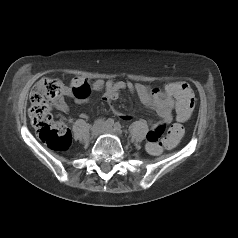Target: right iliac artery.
<instances>
[{"label": "right iliac artery", "mask_w": 238, "mask_h": 238, "mask_svg": "<svg viewBox=\"0 0 238 238\" xmlns=\"http://www.w3.org/2000/svg\"><path fill=\"white\" fill-rule=\"evenodd\" d=\"M113 124H114V120L111 119V118L107 119L106 122H105V125H106L107 127H112Z\"/></svg>", "instance_id": "obj_1"}]
</instances>
